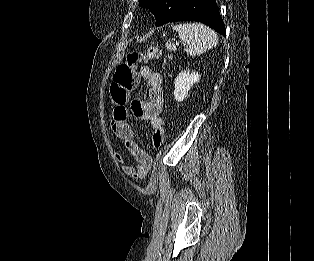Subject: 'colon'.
Instances as JSON below:
<instances>
[{
	"instance_id": "colon-1",
	"label": "colon",
	"mask_w": 314,
	"mask_h": 261,
	"mask_svg": "<svg viewBox=\"0 0 314 261\" xmlns=\"http://www.w3.org/2000/svg\"><path fill=\"white\" fill-rule=\"evenodd\" d=\"M159 54L156 45L150 46L145 51H130L127 54L126 61L121 63L115 70L110 86L111 102L113 105H123L129 99L131 90L136 85L135 68L141 62H150L157 58ZM165 137L164 126L154 129L152 135V144L159 148Z\"/></svg>"
}]
</instances>
